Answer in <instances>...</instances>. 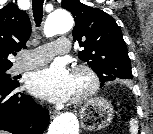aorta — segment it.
<instances>
[{
	"mask_svg": "<svg viewBox=\"0 0 153 134\" xmlns=\"http://www.w3.org/2000/svg\"><path fill=\"white\" fill-rule=\"evenodd\" d=\"M73 27V18L65 10H56L49 14L44 26V33L51 37L66 33ZM47 134H79V124L74 114L63 113L56 117L49 126Z\"/></svg>",
	"mask_w": 153,
	"mask_h": 134,
	"instance_id": "762f6f07",
	"label": "aorta"
}]
</instances>
